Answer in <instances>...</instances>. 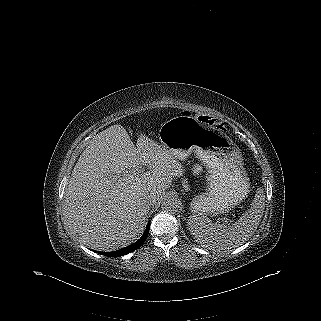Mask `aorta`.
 <instances>
[{
    "mask_svg": "<svg viewBox=\"0 0 321 321\" xmlns=\"http://www.w3.org/2000/svg\"><path fill=\"white\" fill-rule=\"evenodd\" d=\"M161 208L166 212H177L180 208V201L173 195H167L161 202Z\"/></svg>",
    "mask_w": 321,
    "mask_h": 321,
    "instance_id": "1",
    "label": "aorta"
}]
</instances>
